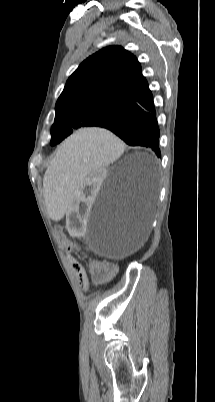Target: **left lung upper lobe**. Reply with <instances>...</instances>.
<instances>
[{
  "label": "left lung upper lobe",
  "mask_w": 215,
  "mask_h": 402,
  "mask_svg": "<svg viewBox=\"0 0 215 402\" xmlns=\"http://www.w3.org/2000/svg\"><path fill=\"white\" fill-rule=\"evenodd\" d=\"M147 83L136 57L121 46L101 49L68 78L55 106L51 145L92 127L133 99Z\"/></svg>",
  "instance_id": "left-lung-upper-lobe-1"
}]
</instances>
